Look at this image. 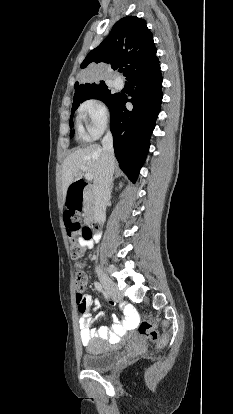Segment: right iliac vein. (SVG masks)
<instances>
[{
    "instance_id": "obj_1",
    "label": "right iliac vein",
    "mask_w": 233,
    "mask_h": 414,
    "mask_svg": "<svg viewBox=\"0 0 233 414\" xmlns=\"http://www.w3.org/2000/svg\"><path fill=\"white\" fill-rule=\"evenodd\" d=\"M98 277L105 288L106 292L114 299V300H120L121 294L116 286V284L102 271H98Z\"/></svg>"
}]
</instances>
